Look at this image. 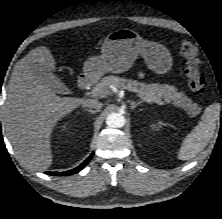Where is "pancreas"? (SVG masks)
Here are the masks:
<instances>
[{"mask_svg": "<svg viewBox=\"0 0 222 219\" xmlns=\"http://www.w3.org/2000/svg\"><path fill=\"white\" fill-rule=\"evenodd\" d=\"M113 85L118 88L130 87L140 97L147 99L150 103H159L164 100L174 106L183 109L190 117H195L200 113L201 107L186 97L183 92H179L175 86L159 83H141L132 79L120 78L118 76H107L102 78L94 88H101L108 91V86Z\"/></svg>", "mask_w": 222, "mask_h": 219, "instance_id": "1", "label": "pancreas"}]
</instances>
